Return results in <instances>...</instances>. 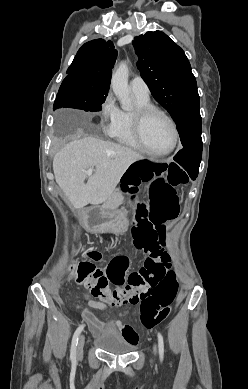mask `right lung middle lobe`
Masks as SVG:
<instances>
[{
	"mask_svg": "<svg viewBox=\"0 0 248 389\" xmlns=\"http://www.w3.org/2000/svg\"><path fill=\"white\" fill-rule=\"evenodd\" d=\"M109 88L94 87L88 84L85 76L70 74L62 82L54 102V109L71 107L85 111H100Z\"/></svg>",
	"mask_w": 248,
	"mask_h": 389,
	"instance_id": "obj_1",
	"label": "right lung middle lobe"
}]
</instances>
